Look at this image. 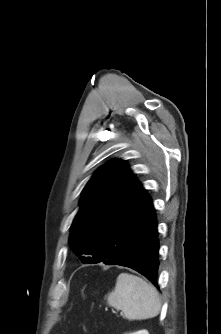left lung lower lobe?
<instances>
[{
  "instance_id": "obj_1",
  "label": "left lung lower lobe",
  "mask_w": 221,
  "mask_h": 334,
  "mask_svg": "<svg viewBox=\"0 0 221 334\" xmlns=\"http://www.w3.org/2000/svg\"><path fill=\"white\" fill-rule=\"evenodd\" d=\"M157 235L152 200L140 185L100 238L92 263L132 268L159 289Z\"/></svg>"
}]
</instances>
